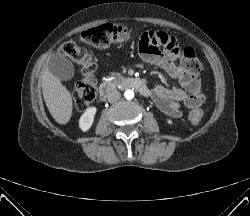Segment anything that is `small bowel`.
Segmentation results:
<instances>
[{"label": "small bowel", "mask_w": 250, "mask_h": 216, "mask_svg": "<svg viewBox=\"0 0 250 216\" xmlns=\"http://www.w3.org/2000/svg\"><path fill=\"white\" fill-rule=\"evenodd\" d=\"M162 49H165L166 54ZM139 50L146 62L160 67L181 85V88H167L160 84L152 87L151 96L164 114L180 118L184 108L191 109L203 103L200 80L180 66L176 40L171 34L162 31L146 32L141 36Z\"/></svg>", "instance_id": "1"}]
</instances>
